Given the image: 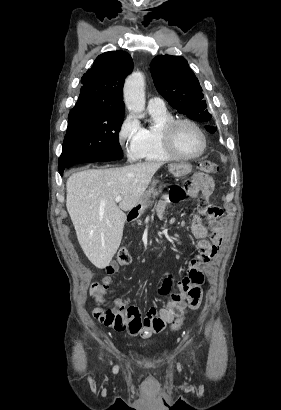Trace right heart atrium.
<instances>
[{
  "instance_id": "1",
  "label": "right heart atrium",
  "mask_w": 281,
  "mask_h": 410,
  "mask_svg": "<svg viewBox=\"0 0 281 410\" xmlns=\"http://www.w3.org/2000/svg\"><path fill=\"white\" fill-rule=\"evenodd\" d=\"M143 134L144 128L139 120L132 114L126 115L118 130V142L131 161L138 159Z\"/></svg>"
}]
</instances>
